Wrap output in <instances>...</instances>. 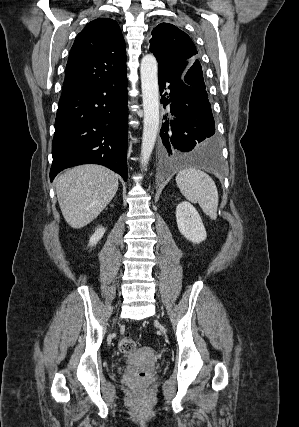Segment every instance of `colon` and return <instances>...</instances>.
<instances>
[{"label": "colon", "instance_id": "1", "mask_svg": "<svg viewBox=\"0 0 299 427\" xmlns=\"http://www.w3.org/2000/svg\"><path fill=\"white\" fill-rule=\"evenodd\" d=\"M119 349L122 353H131L136 349L135 341L130 337H124L119 342Z\"/></svg>", "mask_w": 299, "mask_h": 427}]
</instances>
